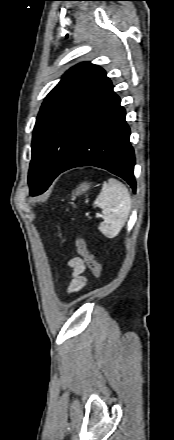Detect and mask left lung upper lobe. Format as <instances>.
Instances as JSON below:
<instances>
[{
    "mask_svg": "<svg viewBox=\"0 0 174 440\" xmlns=\"http://www.w3.org/2000/svg\"><path fill=\"white\" fill-rule=\"evenodd\" d=\"M111 88L101 67L84 62L70 68L47 95L33 131L30 195L43 193L59 175L88 117Z\"/></svg>",
    "mask_w": 174,
    "mask_h": 440,
    "instance_id": "obj_1",
    "label": "left lung upper lobe"
}]
</instances>
